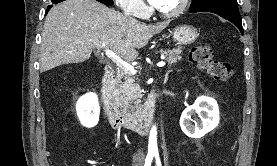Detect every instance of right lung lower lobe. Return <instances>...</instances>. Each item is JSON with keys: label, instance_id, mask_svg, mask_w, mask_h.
<instances>
[{"label": "right lung lower lobe", "instance_id": "98d812e1", "mask_svg": "<svg viewBox=\"0 0 277 166\" xmlns=\"http://www.w3.org/2000/svg\"><path fill=\"white\" fill-rule=\"evenodd\" d=\"M52 1V3L53 4H57V3H60V2H62V1H64V0H51ZM97 1H99V2H101V3H103V4H105V5H112L113 4V1L112 0H97ZM53 5H49L48 7H47V12L50 10V8L52 7Z\"/></svg>", "mask_w": 277, "mask_h": 166}]
</instances>
